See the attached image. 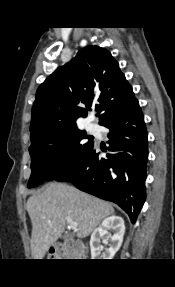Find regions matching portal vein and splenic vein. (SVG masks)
<instances>
[{
  "label": "portal vein and splenic vein",
  "mask_w": 175,
  "mask_h": 287,
  "mask_svg": "<svg viewBox=\"0 0 175 287\" xmlns=\"http://www.w3.org/2000/svg\"><path fill=\"white\" fill-rule=\"evenodd\" d=\"M66 220H67V222L69 224V227L74 229V230H76L78 224L75 221H73L71 218H69V217H66Z\"/></svg>",
  "instance_id": "1"
}]
</instances>
